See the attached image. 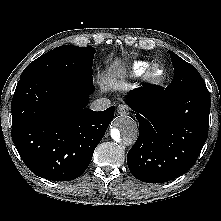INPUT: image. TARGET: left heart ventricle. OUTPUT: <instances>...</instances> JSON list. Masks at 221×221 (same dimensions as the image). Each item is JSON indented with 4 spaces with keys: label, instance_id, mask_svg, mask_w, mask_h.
Returning <instances> with one entry per match:
<instances>
[{
    "label": "left heart ventricle",
    "instance_id": "left-heart-ventricle-1",
    "mask_svg": "<svg viewBox=\"0 0 221 221\" xmlns=\"http://www.w3.org/2000/svg\"><path fill=\"white\" fill-rule=\"evenodd\" d=\"M155 74L156 75H160L161 74V70H156Z\"/></svg>",
    "mask_w": 221,
    "mask_h": 221
}]
</instances>
